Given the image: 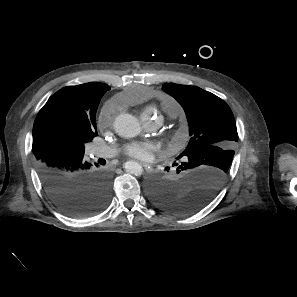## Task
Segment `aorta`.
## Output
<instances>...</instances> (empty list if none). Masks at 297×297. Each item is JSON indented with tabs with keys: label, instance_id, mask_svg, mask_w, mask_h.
Segmentation results:
<instances>
[{
	"label": "aorta",
	"instance_id": "762f6f07",
	"mask_svg": "<svg viewBox=\"0 0 297 297\" xmlns=\"http://www.w3.org/2000/svg\"><path fill=\"white\" fill-rule=\"evenodd\" d=\"M114 129L116 133L124 138H132L140 133V124L138 119L131 114L122 113L115 118ZM126 172L140 176L143 173L142 166L136 161H127L124 163Z\"/></svg>",
	"mask_w": 297,
	"mask_h": 297
}]
</instances>
